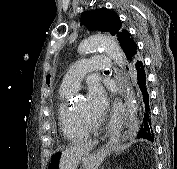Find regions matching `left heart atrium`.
Returning a JSON list of instances; mask_svg holds the SVG:
<instances>
[{
	"mask_svg": "<svg viewBox=\"0 0 177 169\" xmlns=\"http://www.w3.org/2000/svg\"><path fill=\"white\" fill-rule=\"evenodd\" d=\"M87 99L90 107L103 114L107 107V97L104 89L98 83H91L88 87Z\"/></svg>",
	"mask_w": 177,
	"mask_h": 169,
	"instance_id": "left-heart-atrium-1",
	"label": "left heart atrium"
}]
</instances>
